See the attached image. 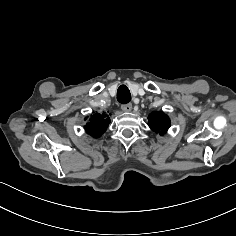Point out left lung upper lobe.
<instances>
[{
	"instance_id": "5c2ea615",
	"label": "left lung upper lobe",
	"mask_w": 236,
	"mask_h": 236,
	"mask_svg": "<svg viewBox=\"0 0 236 236\" xmlns=\"http://www.w3.org/2000/svg\"><path fill=\"white\" fill-rule=\"evenodd\" d=\"M148 125L156 133L163 135L170 127V119L163 112H152L148 116Z\"/></svg>"
}]
</instances>
